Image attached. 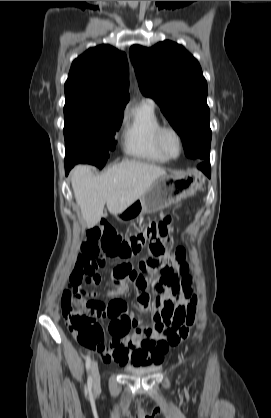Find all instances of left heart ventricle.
Returning a JSON list of instances; mask_svg holds the SVG:
<instances>
[{"mask_svg": "<svg viewBox=\"0 0 271 418\" xmlns=\"http://www.w3.org/2000/svg\"><path fill=\"white\" fill-rule=\"evenodd\" d=\"M163 144L168 153L174 155L177 153L178 145L175 136L167 133L163 137Z\"/></svg>", "mask_w": 271, "mask_h": 418, "instance_id": "b2bd125f", "label": "left heart ventricle"}]
</instances>
